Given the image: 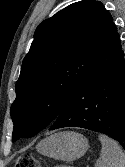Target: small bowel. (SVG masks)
<instances>
[{"label":"small bowel","mask_w":125,"mask_h":167,"mask_svg":"<svg viewBox=\"0 0 125 167\" xmlns=\"http://www.w3.org/2000/svg\"><path fill=\"white\" fill-rule=\"evenodd\" d=\"M57 167H70V166H66V165H59Z\"/></svg>","instance_id":"small-bowel-1"}]
</instances>
